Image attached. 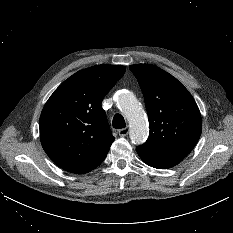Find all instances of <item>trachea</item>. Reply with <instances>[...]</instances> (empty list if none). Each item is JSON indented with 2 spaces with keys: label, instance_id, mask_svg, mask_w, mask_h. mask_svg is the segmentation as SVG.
I'll return each instance as SVG.
<instances>
[{
  "label": "trachea",
  "instance_id": "trachea-1",
  "mask_svg": "<svg viewBox=\"0 0 233 233\" xmlns=\"http://www.w3.org/2000/svg\"><path fill=\"white\" fill-rule=\"evenodd\" d=\"M112 125L115 129L125 128V120L121 114H116L113 118Z\"/></svg>",
  "mask_w": 233,
  "mask_h": 233
}]
</instances>
